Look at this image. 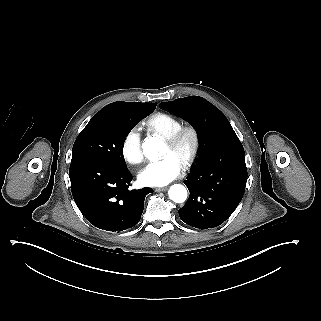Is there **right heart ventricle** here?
<instances>
[{
    "mask_svg": "<svg viewBox=\"0 0 321 321\" xmlns=\"http://www.w3.org/2000/svg\"><path fill=\"white\" fill-rule=\"evenodd\" d=\"M147 126L155 135L165 137L183 126V122L171 114L157 112L148 117Z\"/></svg>",
    "mask_w": 321,
    "mask_h": 321,
    "instance_id": "e07e8e85",
    "label": "right heart ventricle"
}]
</instances>
